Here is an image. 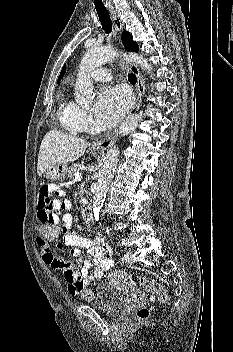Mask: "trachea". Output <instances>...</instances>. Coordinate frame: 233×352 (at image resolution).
<instances>
[{
  "label": "trachea",
  "mask_w": 233,
  "mask_h": 352,
  "mask_svg": "<svg viewBox=\"0 0 233 352\" xmlns=\"http://www.w3.org/2000/svg\"><path fill=\"white\" fill-rule=\"evenodd\" d=\"M96 11L99 17V20L102 25V29L105 31L106 34L111 33L112 31V21L110 19L109 12L106 8H99L96 7ZM128 80L130 83L135 84L137 82V78L134 74H128Z\"/></svg>",
  "instance_id": "3493384b"
}]
</instances>
